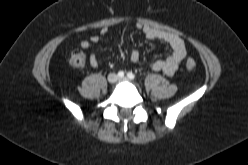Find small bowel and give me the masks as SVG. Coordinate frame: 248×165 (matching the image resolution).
<instances>
[{
	"label": "small bowel",
	"mask_w": 248,
	"mask_h": 165,
	"mask_svg": "<svg viewBox=\"0 0 248 165\" xmlns=\"http://www.w3.org/2000/svg\"><path fill=\"white\" fill-rule=\"evenodd\" d=\"M137 27L142 31L146 38L150 40L162 41L170 46L172 53L164 60L155 61L152 64V68L153 70L163 72L168 76H173L186 57V47L183 39L177 34L163 31L153 26L138 24ZM107 34L108 28H103L101 29L100 34L92 35L90 38L83 40L80 46L82 49L88 50L92 47V45L100 41L101 36H105ZM129 57L133 63H138L140 61V53L137 50L131 51ZM89 64L92 68L99 67V61L94 52L89 55Z\"/></svg>",
	"instance_id": "obj_1"
}]
</instances>
